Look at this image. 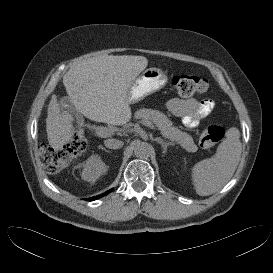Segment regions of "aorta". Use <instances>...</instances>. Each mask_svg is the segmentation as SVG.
<instances>
[{"label":"aorta","instance_id":"obj_1","mask_svg":"<svg viewBox=\"0 0 273 273\" xmlns=\"http://www.w3.org/2000/svg\"><path fill=\"white\" fill-rule=\"evenodd\" d=\"M152 147L146 142H137L134 146V154L137 158L145 159L151 154Z\"/></svg>","mask_w":273,"mask_h":273}]
</instances>
